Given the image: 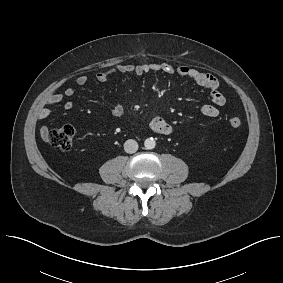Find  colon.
Returning a JSON list of instances; mask_svg holds the SVG:
<instances>
[{
  "label": "colon",
  "instance_id": "colon-1",
  "mask_svg": "<svg viewBox=\"0 0 283 283\" xmlns=\"http://www.w3.org/2000/svg\"><path fill=\"white\" fill-rule=\"evenodd\" d=\"M228 123L232 128H239L242 125V120L241 118L234 116L229 118ZM75 134V127L71 124H66L50 130L46 137L52 146L60 150H69L73 145Z\"/></svg>",
  "mask_w": 283,
  "mask_h": 283
}]
</instances>
